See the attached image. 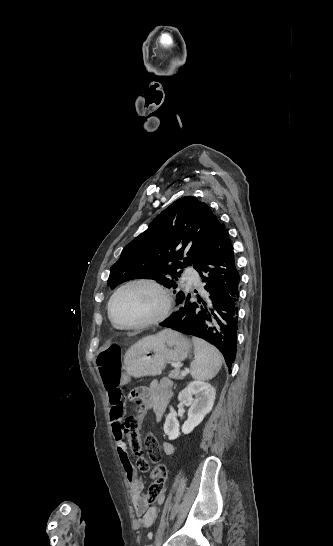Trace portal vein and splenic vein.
Segmentation results:
<instances>
[{"mask_svg":"<svg viewBox=\"0 0 333 546\" xmlns=\"http://www.w3.org/2000/svg\"><path fill=\"white\" fill-rule=\"evenodd\" d=\"M181 375H182V376H186V375H187V372H186V371H182V372H181Z\"/></svg>","mask_w":333,"mask_h":546,"instance_id":"1","label":"portal vein and splenic vein"}]
</instances>
